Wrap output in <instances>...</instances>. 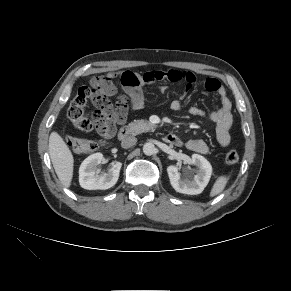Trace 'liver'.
I'll use <instances>...</instances> for the list:
<instances>
[{
	"mask_svg": "<svg viewBox=\"0 0 291 291\" xmlns=\"http://www.w3.org/2000/svg\"><path fill=\"white\" fill-rule=\"evenodd\" d=\"M49 155L59 180L65 187H70L73 177V155L63 138L55 131L49 137Z\"/></svg>",
	"mask_w": 291,
	"mask_h": 291,
	"instance_id": "liver-1",
	"label": "liver"
}]
</instances>
